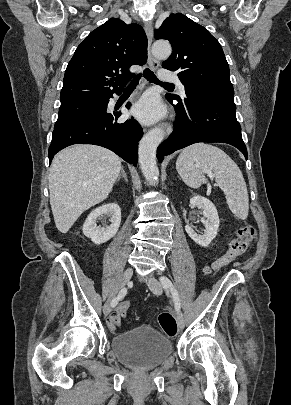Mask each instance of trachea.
Returning a JSON list of instances; mask_svg holds the SVG:
<instances>
[{
    "mask_svg": "<svg viewBox=\"0 0 291 405\" xmlns=\"http://www.w3.org/2000/svg\"><path fill=\"white\" fill-rule=\"evenodd\" d=\"M141 74L138 76V78H136L135 80H133L128 86L127 89H131V88H135L138 83H139V78H140ZM143 76L152 83H156V84H160V85H164V86H173V84L171 83H165V82H160L157 77L154 75V73L149 70L148 68H146L143 71Z\"/></svg>",
    "mask_w": 291,
    "mask_h": 405,
    "instance_id": "3493384b",
    "label": "trachea"
}]
</instances>
